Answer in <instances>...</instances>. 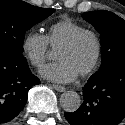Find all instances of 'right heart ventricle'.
<instances>
[{
  "instance_id": "1",
  "label": "right heart ventricle",
  "mask_w": 125,
  "mask_h": 125,
  "mask_svg": "<svg viewBox=\"0 0 125 125\" xmlns=\"http://www.w3.org/2000/svg\"><path fill=\"white\" fill-rule=\"evenodd\" d=\"M85 29L71 19H62L49 26L46 39L51 48L57 49L75 33Z\"/></svg>"
}]
</instances>
